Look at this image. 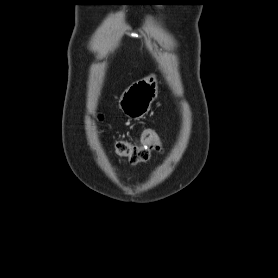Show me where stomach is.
I'll return each instance as SVG.
<instances>
[{
	"mask_svg": "<svg viewBox=\"0 0 278 278\" xmlns=\"http://www.w3.org/2000/svg\"><path fill=\"white\" fill-rule=\"evenodd\" d=\"M158 95V84L154 75L141 79L122 93L119 108L130 119L143 118Z\"/></svg>",
	"mask_w": 278,
	"mask_h": 278,
	"instance_id": "stomach-1",
	"label": "stomach"
}]
</instances>
